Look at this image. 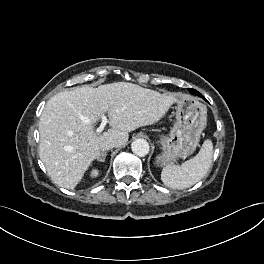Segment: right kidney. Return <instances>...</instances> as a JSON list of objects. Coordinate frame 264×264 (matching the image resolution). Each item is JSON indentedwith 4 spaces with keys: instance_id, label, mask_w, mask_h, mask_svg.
Masks as SVG:
<instances>
[{
    "instance_id": "obj_1",
    "label": "right kidney",
    "mask_w": 264,
    "mask_h": 264,
    "mask_svg": "<svg viewBox=\"0 0 264 264\" xmlns=\"http://www.w3.org/2000/svg\"><path fill=\"white\" fill-rule=\"evenodd\" d=\"M99 175V170L98 169H93L91 172V177H97Z\"/></svg>"
}]
</instances>
